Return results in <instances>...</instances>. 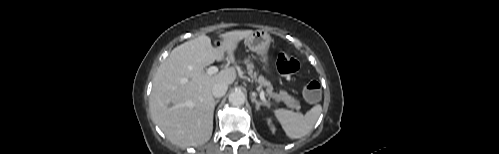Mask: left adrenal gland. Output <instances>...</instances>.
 <instances>
[{"label": "left adrenal gland", "mask_w": 499, "mask_h": 154, "mask_svg": "<svg viewBox=\"0 0 499 154\" xmlns=\"http://www.w3.org/2000/svg\"><path fill=\"white\" fill-rule=\"evenodd\" d=\"M251 101H252V102H254V103H256V110H259V109H260V106H268V107H269V105H268L267 103L257 101V100H256V97H255V96H253V95H251Z\"/></svg>", "instance_id": "a2214340"}]
</instances>
